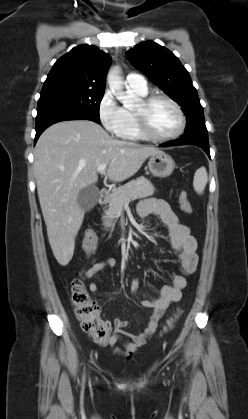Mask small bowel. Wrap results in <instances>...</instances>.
Returning <instances> with one entry per match:
<instances>
[{
  "instance_id": "1",
  "label": "small bowel",
  "mask_w": 248,
  "mask_h": 419,
  "mask_svg": "<svg viewBox=\"0 0 248 419\" xmlns=\"http://www.w3.org/2000/svg\"><path fill=\"white\" fill-rule=\"evenodd\" d=\"M138 215L146 217L151 214L158 215L168 228L171 246L179 256L178 271L172 275L171 285L162 288L159 297L155 300H142L140 303L144 308L152 312L148 318L146 326L141 333L130 334L124 338V329L128 322L121 318L114 319L115 332L107 341L108 346L116 354L130 357L141 346L145 345L148 338L155 332L158 323L165 310L173 303L180 301L182 290L186 286V277L195 272L198 265V255L196 253L197 241L191 235L190 228L181 224L178 216L170 205L161 199L147 198L141 201L137 208ZM116 264L114 258H106L93 263L86 271L87 278H92L105 268H112ZM93 293L97 291V284L92 282L88 286ZM139 288V280L133 278L130 289L135 293ZM122 343V348L117 346Z\"/></svg>"
}]
</instances>
